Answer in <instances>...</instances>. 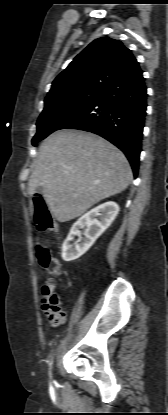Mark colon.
<instances>
[{
	"mask_svg": "<svg viewBox=\"0 0 168 415\" xmlns=\"http://www.w3.org/2000/svg\"><path fill=\"white\" fill-rule=\"evenodd\" d=\"M34 221L39 232L59 234V228L53 222L51 213L41 198H36L34 201ZM37 258L40 266L46 271L49 277L57 278L61 275L60 263L47 247L41 245L37 247ZM48 285L54 288L53 283H48Z\"/></svg>",
	"mask_w": 168,
	"mask_h": 415,
	"instance_id": "1",
	"label": "colon"
}]
</instances>
